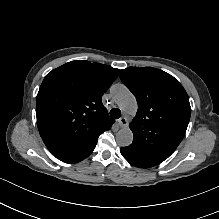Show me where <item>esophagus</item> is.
I'll return each instance as SVG.
<instances>
[{"label": "esophagus", "mask_w": 219, "mask_h": 219, "mask_svg": "<svg viewBox=\"0 0 219 219\" xmlns=\"http://www.w3.org/2000/svg\"><path fill=\"white\" fill-rule=\"evenodd\" d=\"M118 123L120 125V127H126L128 126V121H127V118L125 116L121 117L119 120H118Z\"/></svg>", "instance_id": "esophagus-1"}]
</instances>
